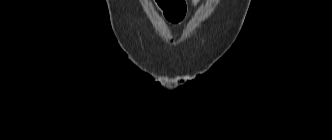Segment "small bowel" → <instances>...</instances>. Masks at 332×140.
<instances>
[{
	"label": "small bowel",
	"instance_id": "1",
	"mask_svg": "<svg viewBox=\"0 0 332 140\" xmlns=\"http://www.w3.org/2000/svg\"><path fill=\"white\" fill-rule=\"evenodd\" d=\"M200 0H191V8L194 10L197 8ZM184 16V15H183ZM183 16L179 19L170 20L171 22L177 23L182 20Z\"/></svg>",
	"mask_w": 332,
	"mask_h": 140
}]
</instances>
